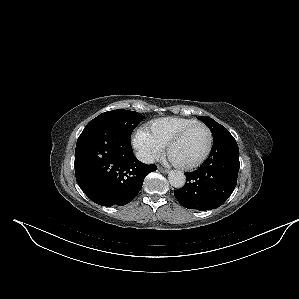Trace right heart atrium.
<instances>
[{
  "label": "right heart atrium",
  "mask_w": 299,
  "mask_h": 299,
  "mask_svg": "<svg viewBox=\"0 0 299 299\" xmlns=\"http://www.w3.org/2000/svg\"><path fill=\"white\" fill-rule=\"evenodd\" d=\"M131 144L139 158L150 163L160 156L163 146L146 129H138L131 136Z\"/></svg>",
  "instance_id": "right-heart-atrium-1"
}]
</instances>
